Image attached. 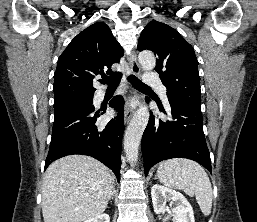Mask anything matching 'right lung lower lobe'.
Listing matches in <instances>:
<instances>
[{
    "label": "right lung lower lobe",
    "mask_w": 257,
    "mask_h": 222,
    "mask_svg": "<svg viewBox=\"0 0 257 222\" xmlns=\"http://www.w3.org/2000/svg\"><path fill=\"white\" fill-rule=\"evenodd\" d=\"M110 106L117 116L106 125H98V112L74 111L54 119L45 169L55 160L72 154L91 156L107 167L120 181L121 141L124 132V99L115 96Z\"/></svg>",
    "instance_id": "98d812e1"
}]
</instances>
